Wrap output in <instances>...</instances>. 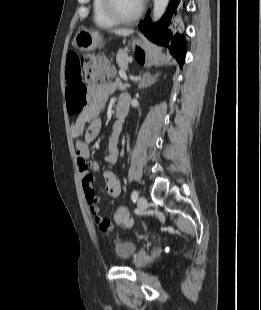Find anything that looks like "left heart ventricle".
I'll return each mask as SVG.
<instances>
[{
    "label": "left heart ventricle",
    "instance_id": "1",
    "mask_svg": "<svg viewBox=\"0 0 261 310\" xmlns=\"http://www.w3.org/2000/svg\"><path fill=\"white\" fill-rule=\"evenodd\" d=\"M113 1L117 12L125 17L135 14L141 5L138 0H113Z\"/></svg>",
    "mask_w": 261,
    "mask_h": 310
}]
</instances>
